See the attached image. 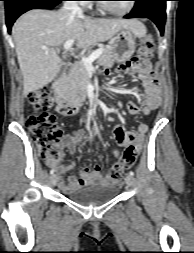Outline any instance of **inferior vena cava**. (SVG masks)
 Instances as JSON below:
<instances>
[{"label": "inferior vena cava", "mask_w": 194, "mask_h": 253, "mask_svg": "<svg viewBox=\"0 0 194 253\" xmlns=\"http://www.w3.org/2000/svg\"><path fill=\"white\" fill-rule=\"evenodd\" d=\"M63 9L79 15H82L83 13L76 1H65L63 4Z\"/></svg>", "instance_id": "inferior-vena-cava-1"}]
</instances>
